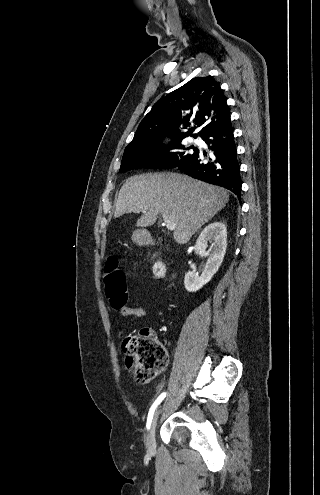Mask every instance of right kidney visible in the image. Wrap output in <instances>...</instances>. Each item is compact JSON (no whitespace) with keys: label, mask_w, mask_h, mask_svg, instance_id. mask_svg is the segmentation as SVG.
Segmentation results:
<instances>
[{"label":"right kidney","mask_w":320,"mask_h":495,"mask_svg":"<svg viewBox=\"0 0 320 495\" xmlns=\"http://www.w3.org/2000/svg\"><path fill=\"white\" fill-rule=\"evenodd\" d=\"M208 243H212V249L206 251ZM226 248L227 229L224 223L214 222L203 229L195 243L194 252L208 256V260L201 276L194 271L186 273L184 285L187 291H198L212 279L223 262Z\"/></svg>","instance_id":"ca27d5eb"}]
</instances>
